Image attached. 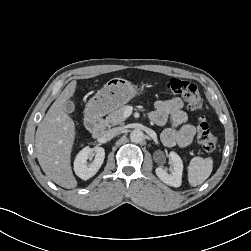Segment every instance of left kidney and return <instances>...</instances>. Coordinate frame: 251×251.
Here are the masks:
<instances>
[{"label": "left kidney", "instance_id": "5707ae66", "mask_svg": "<svg viewBox=\"0 0 251 251\" xmlns=\"http://www.w3.org/2000/svg\"><path fill=\"white\" fill-rule=\"evenodd\" d=\"M169 158L172 162L171 173H167L163 168H156L155 172L159 179L172 187H180L182 183L183 161L176 152H170Z\"/></svg>", "mask_w": 251, "mask_h": 251}]
</instances>
